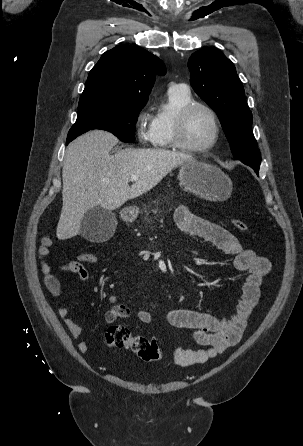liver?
Returning <instances> with one entry per match:
<instances>
[{"label": "liver", "instance_id": "liver-1", "mask_svg": "<svg viewBox=\"0 0 303 446\" xmlns=\"http://www.w3.org/2000/svg\"><path fill=\"white\" fill-rule=\"evenodd\" d=\"M117 138L102 130L90 131L69 144L63 163V206L56 229L59 240L79 234L84 214L97 206L108 211L155 187L170 171L192 156L163 149L110 150ZM132 175L139 179L132 186Z\"/></svg>", "mask_w": 303, "mask_h": 446}]
</instances>
